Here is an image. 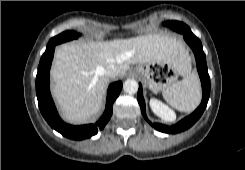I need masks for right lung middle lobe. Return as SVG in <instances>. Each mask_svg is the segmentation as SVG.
Masks as SVG:
<instances>
[{"mask_svg": "<svg viewBox=\"0 0 245 170\" xmlns=\"http://www.w3.org/2000/svg\"><path fill=\"white\" fill-rule=\"evenodd\" d=\"M79 37V34L76 33L75 31H65L61 34H59L58 36H55L53 37L48 45V46H51V45H57V44H60L62 42H66V41H69V40H72V39H76Z\"/></svg>", "mask_w": 245, "mask_h": 170, "instance_id": "obj_1", "label": "right lung middle lobe"}]
</instances>
